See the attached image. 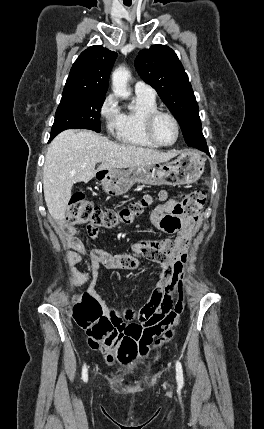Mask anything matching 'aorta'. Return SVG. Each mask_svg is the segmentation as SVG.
Masks as SVG:
<instances>
[{
	"label": "aorta",
	"mask_w": 264,
	"mask_h": 429,
	"mask_svg": "<svg viewBox=\"0 0 264 429\" xmlns=\"http://www.w3.org/2000/svg\"><path fill=\"white\" fill-rule=\"evenodd\" d=\"M130 78V72L127 68L118 67L112 74V89L116 96L127 98L130 92L127 88V83Z\"/></svg>",
	"instance_id": "aorta-1"
}]
</instances>
